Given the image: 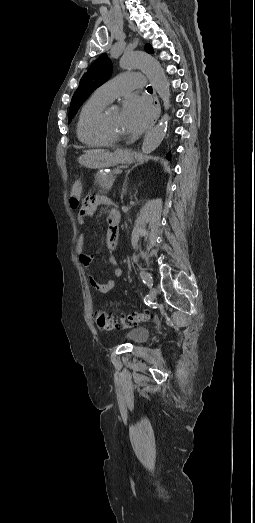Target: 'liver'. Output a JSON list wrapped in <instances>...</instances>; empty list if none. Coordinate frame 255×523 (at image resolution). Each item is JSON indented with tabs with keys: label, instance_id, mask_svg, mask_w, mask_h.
Wrapping results in <instances>:
<instances>
[{
	"label": "liver",
	"instance_id": "1",
	"mask_svg": "<svg viewBox=\"0 0 255 523\" xmlns=\"http://www.w3.org/2000/svg\"><path fill=\"white\" fill-rule=\"evenodd\" d=\"M103 154H109V152H105V150H87L83 158L88 164H94L95 160H97L99 156H103Z\"/></svg>",
	"mask_w": 255,
	"mask_h": 523
}]
</instances>
